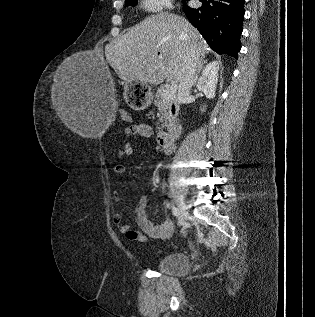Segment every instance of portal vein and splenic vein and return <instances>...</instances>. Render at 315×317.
<instances>
[{"label": "portal vein and splenic vein", "mask_w": 315, "mask_h": 317, "mask_svg": "<svg viewBox=\"0 0 315 317\" xmlns=\"http://www.w3.org/2000/svg\"><path fill=\"white\" fill-rule=\"evenodd\" d=\"M176 90L177 84L173 83L165 90V97L168 99L171 98L176 93Z\"/></svg>", "instance_id": "18ae733b"}]
</instances>
